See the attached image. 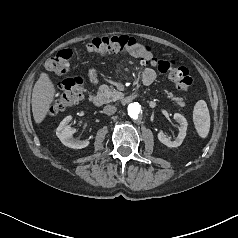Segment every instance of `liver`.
<instances>
[{
  "label": "liver",
  "instance_id": "obj_1",
  "mask_svg": "<svg viewBox=\"0 0 238 238\" xmlns=\"http://www.w3.org/2000/svg\"><path fill=\"white\" fill-rule=\"evenodd\" d=\"M55 92L54 84L48 74L42 72L32 93V112L37 124H40L46 117L50 104L54 100Z\"/></svg>",
  "mask_w": 238,
  "mask_h": 238
}]
</instances>
